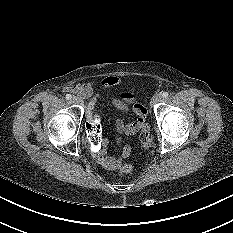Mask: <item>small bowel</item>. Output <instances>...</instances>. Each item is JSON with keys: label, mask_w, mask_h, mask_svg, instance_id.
Returning a JSON list of instances; mask_svg holds the SVG:
<instances>
[{"label": "small bowel", "mask_w": 233, "mask_h": 233, "mask_svg": "<svg viewBox=\"0 0 233 233\" xmlns=\"http://www.w3.org/2000/svg\"><path fill=\"white\" fill-rule=\"evenodd\" d=\"M120 83L118 76H108L101 79L99 82H87L84 84H77L70 86L69 91L77 94L78 96L89 99L88 117L90 112L94 111V106L99 98L98 94H94L93 88L97 84L100 87L107 89L114 87ZM112 104L123 112H128L130 109L137 115V118L131 120L129 123H124L122 120H118L116 123V129L118 132V143H122L126 136H130L136 133L141 126V123L145 119L146 109L136 102L135 95L130 91H120L116 97L111 98ZM99 125V123H98ZM101 136V135H100ZM108 142L101 137L100 150L94 153L95 160L107 170H117L122 165V159L129 156L131 148L129 145L123 147L120 157H114L107 154Z\"/></svg>", "instance_id": "1"}]
</instances>
